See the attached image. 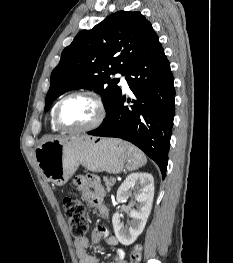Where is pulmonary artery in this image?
<instances>
[{"label": "pulmonary artery", "instance_id": "1", "mask_svg": "<svg viewBox=\"0 0 233 263\" xmlns=\"http://www.w3.org/2000/svg\"><path fill=\"white\" fill-rule=\"evenodd\" d=\"M117 77L120 79V84H121L123 90L124 91H129V86H128V83H127L125 75L118 74Z\"/></svg>", "mask_w": 233, "mask_h": 263}]
</instances>
